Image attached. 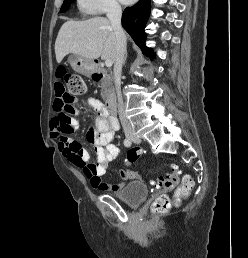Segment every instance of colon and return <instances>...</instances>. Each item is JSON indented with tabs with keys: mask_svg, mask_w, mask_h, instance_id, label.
Wrapping results in <instances>:
<instances>
[{
	"mask_svg": "<svg viewBox=\"0 0 248 258\" xmlns=\"http://www.w3.org/2000/svg\"><path fill=\"white\" fill-rule=\"evenodd\" d=\"M65 82L67 85L66 95L56 99V115L53 119V123L55 124L57 130L62 134H67L73 131L70 117V114L73 112L71 103L75 100L76 96L83 95L86 91L85 82L79 75H68L65 77ZM143 150V146H132L131 151H129L126 156L125 163L127 165L134 163L138 157H141L144 154ZM84 173L87 177V175H91L93 172L91 169L87 168L85 169ZM93 176L95 175L93 174ZM178 183V168L173 166L172 170L165 177H160L154 182V186L158 190L165 191L174 189ZM193 185L194 181L190 176L183 177L181 185L175 192V202H179L181 199L186 198L190 194ZM172 204L173 201L170 197L161 195L152 203V210L155 213H165L169 210Z\"/></svg>",
	"mask_w": 248,
	"mask_h": 258,
	"instance_id": "1",
	"label": "colon"
}]
</instances>
